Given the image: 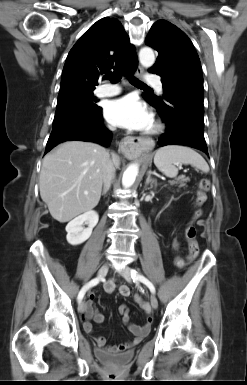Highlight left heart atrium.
I'll return each instance as SVG.
<instances>
[{
  "mask_svg": "<svg viewBox=\"0 0 247 385\" xmlns=\"http://www.w3.org/2000/svg\"><path fill=\"white\" fill-rule=\"evenodd\" d=\"M105 117L115 126L135 131L147 130L153 122L150 110L134 95L109 101Z\"/></svg>",
  "mask_w": 247,
  "mask_h": 385,
  "instance_id": "left-heart-atrium-1",
  "label": "left heart atrium"
}]
</instances>
